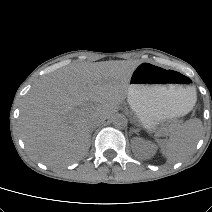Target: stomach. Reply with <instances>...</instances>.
Listing matches in <instances>:
<instances>
[{
  "label": "stomach",
  "mask_w": 212,
  "mask_h": 212,
  "mask_svg": "<svg viewBox=\"0 0 212 212\" xmlns=\"http://www.w3.org/2000/svg\"><path fill=\"white\" fill-rule=\"evenodd\" d=\"M189 82L179 72L140 63L129 81L128 103L142 126L153 131L161 121L183 116L192 109L196 90Z\"/></svg>",
  "instance_id": "obj_1"
}]
</instances>
